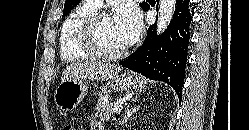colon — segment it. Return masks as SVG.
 <instances>
[{
    "instance_id": "1",
    "label": "colon",
    "mask_w": 249,
    "mask_h": 130,
    "mask_svg": "<svg viewBox=\"0 0 249 130\" xmlns=\"http://www.w3.org/2000/svg\"><path fill=\"white\" fill-rule=\"evenodd\" d=\"M62 130H77V129L73 125L67 124L63 126Z\"/></svg>"
}]
</instances>
